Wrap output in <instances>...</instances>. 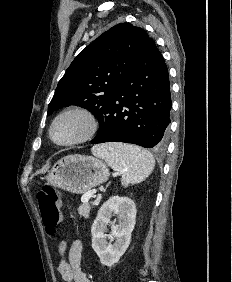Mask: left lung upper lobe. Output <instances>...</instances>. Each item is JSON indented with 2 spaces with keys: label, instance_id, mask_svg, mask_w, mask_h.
Listing matches in <instances>:
<instances>
[{
  "label": "left lung upper lobe",
  "instance_id": "1",
  "mask_svg": "<svg viewBox=\"0 0 232 282\" xmlns=\"http://www.w3.org/2000/svg\"><path fill=\"white\" fill-rule=\"evenodd\" d=\"M150 37L140 27L120 23L104 32L73 60L60 79L48 115L69 105L91 111L100 122L120 86L140 60Z\"/></svg>",
  "mask_w": 232,
  "mask_h": 282
}]
</instances>
